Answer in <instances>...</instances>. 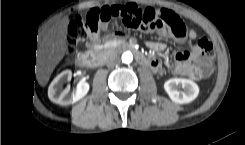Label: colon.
Segmentation results:
<instances>
[{
	"mask_svg": "<svg viewBox=\"0 0 245 145\" xmlns=\"http://www.w3.org/2000/svg\"><path fill=\"white\" fill-rule=\"evenodd\" d=\"M122 23L124 25H131L134 27H142V28L150 27L152 29H157L159 27L158 22L155 19H153L152 14L148 12H142V11L133 12L128 18H124L122 20ZM173 28L175 31H179L182 29V26L176 23L174 24ZM73 30L77 37L82 36L84 34V30L79 26L73 27ZM195 49L198 52L203 53L207 57L204 68H203V78H202V83L206 84L209 68L213 61V56L209 50L210 46H209L208 39L206 37H201L200 39H198L195 44Z\"/></svg>",
	"mask_w": 245,
	"mask_h": 145,
	"instance_id": "colon-1",
	"label": "colon"
}]
</instances>
